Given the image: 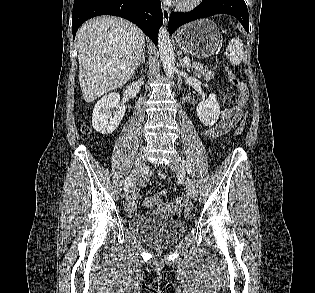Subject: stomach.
<instances>
[{
	"label": "stomach",
	"mask_w": 315,
	"mask_h": 293,
	"mask_svg": "<svg viewBox=\"0 0 315 293\" xmlns=\"http://www.w3.org/2000/svg\"><path fill=\"white\" fill-rule=\"evenodd\" d=\"M220 39L217 25L208 19L184 25L175 36L177 46L182 51L199 59L213 55L219 46Z\"/></svg>",
	"instance_id": "obj_1"
}]
</instances>
